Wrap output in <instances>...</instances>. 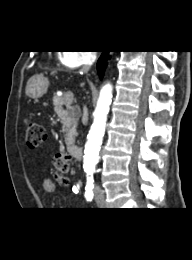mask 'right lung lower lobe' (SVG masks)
I'll use <instances>...</instances> for the list:
<instances>
[{"label": "right lung lower lobe", "mask_w": 192, "mask_h": 260, "mask_svg": "<svg viewBox=\"0 0 192 260\" xmlns=\"http://www.w3.org/2000/svg\"><path fill=\"white\" fill-rule=\"evenodd\" d=\"M108 59H109V51H103V53L97 63V69H98V72H100V78H102V76H103Z\"/></svg>", "instance_id": "98d812e1"}]
</instances>
